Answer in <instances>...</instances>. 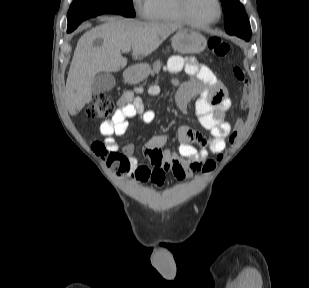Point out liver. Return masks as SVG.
Segmentation results:
<instances>
[{
	"mask_svg": "<svg viewBox=\"0 0 309 288\" xmlns=\"http://www.w3.org/2000/svg\"><path fill=\"white\" fill-rule=\"evenodd\" d=\"M178 29L179 25L171 23L109 18L85 32L77 43L66 81L69 113L76 115L91 102L92 83L97 73L118 72L126 67L122 48L131 47L133 59H142ZM96 41L101 44L95 45Z\"/></svg>",
	"mask_w": 309,
	"mask_h": 288,
	"instance_id": "1",
	"label": "liver"
}]
</instances>
